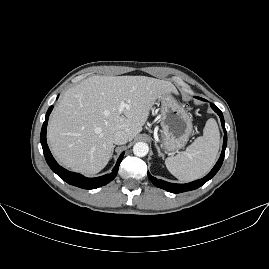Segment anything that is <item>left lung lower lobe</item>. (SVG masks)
<instances>
[{"instance_id": "left-lung-lower-lobe-1", "label": "left lung lower lobe", "mask_w": 269, "mask_h": 269, "mask_svg": "<svg viewBox=\"0 0 269 269\" xmlns=\"http://www.w3.org/2000/svg\"><path fill=\"white\" fill-rule=\"evenodd\" d=\"M210 105H211L212 109L219 115V117L221 119L222 127L224 129L223 149H222L220 158L217 161L216 165L209 172V174L206 175L204 178L187 183V184H174V183H169V182H166L163 180H159V179H156L155 177H153L148 172V178L156 187H159V188L164 189V190L171 192V193H181V192L191 191V190L199 188L204 183H206L208 180H210L220 169V167L223 163V160H224L225 149L227 146V132L225 130L224 117H223L221 110L212 103Z\"/></svg>"}]
</instances>
